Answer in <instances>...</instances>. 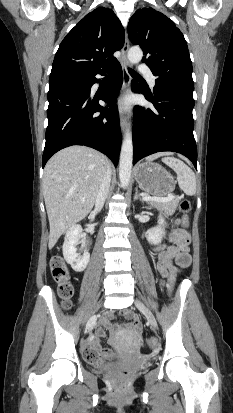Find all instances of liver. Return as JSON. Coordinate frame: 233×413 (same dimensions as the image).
I'll use <instances>...</instances> for the list:
<instances>
[{"mask_svg":"<svg viewBox=\"0 0 233 413\" xmlns=\"http://www.w3.org/2000/svg\"><path fill=\"white\" fill-rule=\"evenodd\" d=\"M168 154L158 153L148 160ZM107 167L103 154L85 146L67 147L47 162L43 195L50 225L49 249L92 210Z\"/></svg>","mask_w":233,"mask_h":413,"instance_id":"1","label":"liver"}]
</instances>
